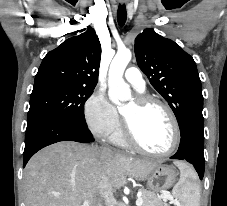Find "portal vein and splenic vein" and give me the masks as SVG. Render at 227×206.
I'll list each match as a JSON object with an SVG mask.
<instances>
[{
    "mask_svg": "<svg viewBox=\"0 0 227 206\" xmlns=\"http://www.w3.org/2000/svg\"><path fill=\"white\" fill-rule=\"evenodd\" d=\"M162 197L165 198V199H170L172 202L176 203V201L173 200V198L170 195H168V194H163ZM142 204H143V199L141 198V192H139L137 194L136 206H142ZM82 206H89V202L88 201H84Z\"/></svg>",
    "mask_w": 227,
    "mask_h": 206,
    "instance_id": "obj_1",
    "label": "portal vein and splenic vein"
}]
</instances>
